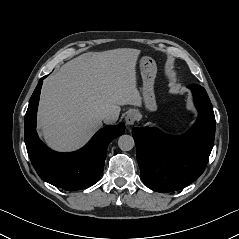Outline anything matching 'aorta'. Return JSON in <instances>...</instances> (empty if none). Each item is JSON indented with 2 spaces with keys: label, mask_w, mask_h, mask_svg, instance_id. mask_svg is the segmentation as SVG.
<instances>
[{
  "label": "aorta",
  "mask_w": 239,
  "mask_h": 239,
  "mask_svg": "<svg viewBox=\"0 0 239 239\" xmlns=\"http://www.w3.org/2000/svg\"><path fill=\"white\" fill-rule=\"evenodd\" d=\"M135 145L134 139L130 135H121L118 139V146L122 151H130Z\"/></svg>",
  "instance_id": "1"
}]
</instances>
